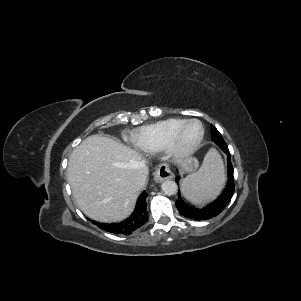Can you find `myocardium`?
<instances>
[{"instance_id":"myocardium-1","label":"myocardium","mask_w":301,"mask_h":301,"mask_svg":"<svg viewBox=\"0 0 301 301\" xmlns=\"http://www.w3.org/2000/svg\"><path fill=\"white\" fill-rule=\"evenodd\" d=\"M192 123H198L201 127V134L199 138L190 146H183L182 145V137L189 125ZM205 136V127L200 120L197 119H189L187 120L170 138L169 142L167 143L164 151L166 152L167 156L173 160H182L185 159L192 154H194L197 149L200 147L203 139Z\"/></svg>"}]
</instances>
